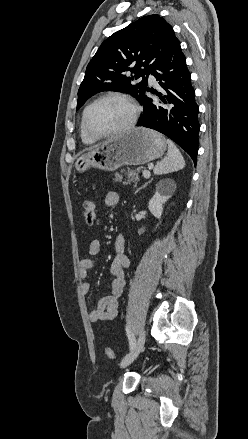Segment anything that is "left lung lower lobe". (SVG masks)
<instances>
[{
  "mask_svg": "<svg viewBox=\"0 0 248 439\" xmlns=\"http://www.w3.org/2000/svg\"><path fill=\"white\" fill-rule=\"evenodd\" d=\"M152 75L159 81L162 92L151 89V93L159 96L155 101L145 94L150 91L146 88L140 101L144 111L137 126L165 134L184 149L196 164L200 130L199 106L195 101L191 74L186 67L179 41L173 44Z\"/></svg>",
  "mask_w": 248,
  "mask_h": 439,
  "instance_id": "1",
  "label": "left lung lower lobe"
}]
</instances>
